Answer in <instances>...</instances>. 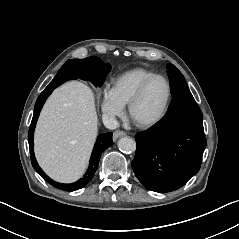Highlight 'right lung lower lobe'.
I'll return each mask as SVG.
<instances>
[{
    "label": "right lung lower lobe",
    "instance_id": "1",
    "mask_svg": "<svg viewBox=\"0 0 239 239\" xmlns=\"http://www.w3.org/2000/svg\"><path fill=\"white\" fill-rule=\"evenodd\" d=\"M111 66L109 64H104L101 59L97 57H88L85 59H72L68 60L62 68L59 70L55 78L50 82V84L44 89L39 98L37 99L34 107V114L31 122V126L28 133V141L29 147L31 151V162L33 168L40 174V176L47 181L50 185L54 186L57 189L64 191H75L83 188L86 184L90 182L93 178L99 164V159L101 154L111 145H113L112 141V132L100 134L95 143L92 156L90 159L89 168L84 175L83 178L79 179L77 182L70 184H62L55 182L51 178H49L44 171L38 165L36 158L34 156V129L36 126V122L39 116V113L43 107L48 96L52 93V91L71 79H83L89 80L94 85L101 86L106 78V75L109 73Z\"/></svg>",
    "mask_w": 239,
    "mask_h": 239
}]
</instances>
